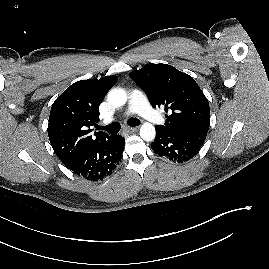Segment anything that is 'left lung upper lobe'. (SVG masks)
<instances>
[{"mask_svg": "<svg viewBox=\"0 0 269 269\" xmlns=\"http://www.w3.org/2000/svg\"><path fill=\"white\" fill-rule=\"evenodd\" d=\"M129 76L145 91L153 107H164L167 132L204 133L210 124L209 103L195 80L167 64H148Z\"/></svg>", "mask_w": 269, "mask_h": 269, "instance_id": "5c2ea615", "label": "left lung upper lobe"}]
</instances>
